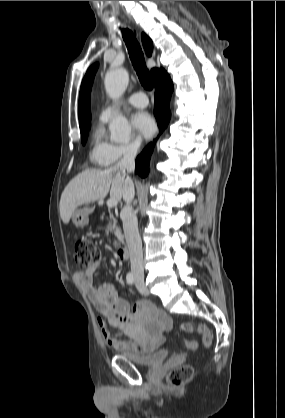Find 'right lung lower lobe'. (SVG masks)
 I'll return each instance as SVG.
<instances>
[{
    "mask_svg": "<svg viewBox=\"0 0 285 418\" xmlns=\"http://www.w3.org/2000/svg\"><path fill=\"white\" fill-rule=\"evenodd\" d=\"M155 91V117L157 119L158 127L160 133L164 131L171 117L169 102L171 94L173 92V83L169 77L166 75L163 77L162 81L158 83ZM156 140L148 144L142 153L136 158V173L141 177H146L149 172V161L151 154L153 152L154 145Z\"/></svg>",
    "mask_w": 285,
    "mask_h": 418,
    "instance_id": "right-lung-lower-lobe-1",
    "label": "right lung lower lobe"
}]
</instances>
